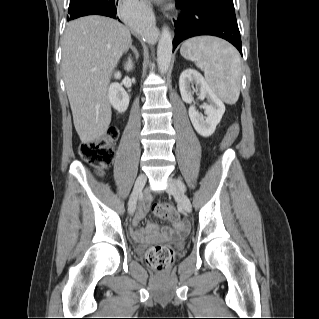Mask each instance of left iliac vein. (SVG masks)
I'll return each mask as SVG.
<instances>
[{"label": "left iliac vein", "mask_w": 319, "mask_h": 319, "mask_svg": "<svg viewBox=\"0 0 319 319\" xmlns=\"http://www.w3.org/2000/svg\"><path fill=\"white\" fill-rule=\"evenodd\" d=\"M167 192L173 195L180 203L182 208L186 213H190L192 211V204L188 196L179 189L174 179H168V185L166 188Z\"/></svg>", "instance_id": "left-iliac-vein-1"}]
</instances>
